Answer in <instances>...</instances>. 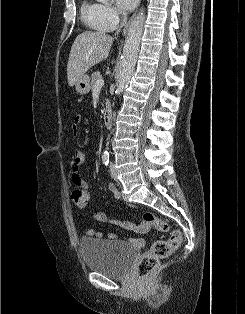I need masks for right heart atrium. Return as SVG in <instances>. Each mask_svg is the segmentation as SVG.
<instances>
[{"label":"right heart atrium","instance_id":"right-heart-atrium-1","mask_svg":"<svg viewBox=\"0 0 245 314\" xmlns=\"http://www.w3.org/2000/svg\"><path fill=\"white\" fill-rule=\"evenodd\" d=\"M120 21L119 11L110 5L98 4V24L103 31L114 29Z\"/></svg>","mask_w":245,"mask_h":314}]
</instances>
